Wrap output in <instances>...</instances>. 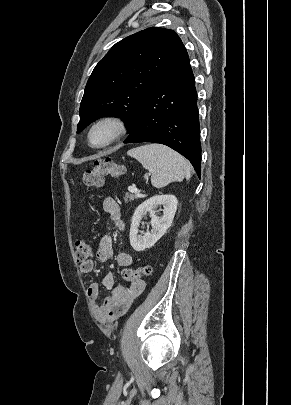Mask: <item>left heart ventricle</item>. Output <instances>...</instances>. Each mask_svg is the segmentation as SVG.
Returning <instances> with one entry per match:
<instances>
[{
    "label": "left heart ventricle",
    "instance_id": "left-heart-ventricle-1",
    "mask_svg": "<svg viewBox=\"0 0 291 405\" xmlns=\"http://www.w3.org/2000/svg\"><path fill=\"white\" fill-rule=\"evenodd\" d=\"M110 135V129L107 126H100L92 133V143L101 144L105 142Z\"/></svg>",
    "mask_w": 291,
    "mask_h": 405
}]
</instances>
